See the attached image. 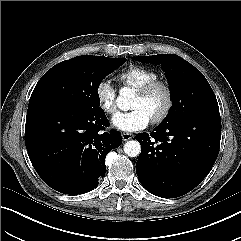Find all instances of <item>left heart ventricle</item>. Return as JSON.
Wrapping results in <instances>:
<instances>
[{
    "instance_id": "obj_1",
    "label": "left heart ventricle",
    "mask_w": 241,
    "mask_h": 241,
    "mask_svg": "<svg viewBox=\"0 0 241 241\" xmlns=\"http://www.w3.org/2000/svg\"><path fill=\"white\" fill-rule=\"evenodd\" d=\"M165 100V94L161 89L154 91L147 97H141L136 93L130 108H140L144 110L151 119L162 110L165 105Z\"/></svg>"
}]
</instances>
